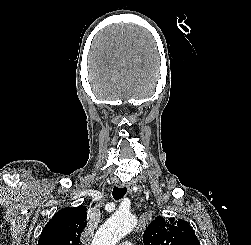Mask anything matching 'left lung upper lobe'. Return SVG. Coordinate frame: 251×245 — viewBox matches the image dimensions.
<instances>
[{"label": "left lung upper lobe", "mask_w": 251, "mask_h": 245, "mask_svg": "<svg viewBox=\"0 0 251 245\" xmlns=\"http://www.w3.org/2000/svg\"><path fill=\"white\" fill-rule=\"evenodd\" d=\"M144 245H200L193 228L184 220L158 216L147 227Z\"/></svg>", "instance_id": "left-lung-upper-lobe-1"}]
</instances>
